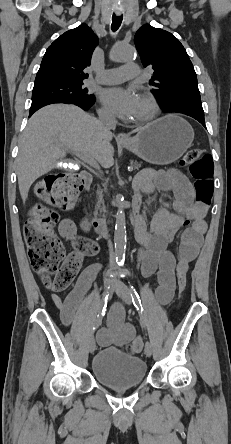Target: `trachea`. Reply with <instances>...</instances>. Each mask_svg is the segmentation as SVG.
<instances>
[{"label":"trachea","mask_w":231,"mask_h":444,"mask_svg":"<svg viewBox=\"0 0 231 444\" xmlns=\"http://www.w3.org/2000/svg\"><path fill=\"white\" fill-rule=\"evenodd\" d=\"M122 20H123V16L122 15L117 16L115 13L113 14L112 25H111L112 31L115 32L120 27V25L122 23Z\"/></svg>","instance_id":"trachea-1"}]
</instances>
